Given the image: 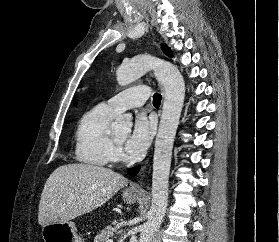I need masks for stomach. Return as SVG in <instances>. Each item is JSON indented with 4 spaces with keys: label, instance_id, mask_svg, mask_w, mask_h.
I'll return each mask as SVG.
<instances>
[{
    "label": "stomach",
    "instance_id": "0dacf381",
    "mask_svg": "<svg viewBox=\"0 0 279 242\" xmlns=\"http://www.w3.org/2000/svg\"><path fill=\"white\" fill-rule=\"evenodd\" d=\"M138 198L139 195L136 193L128 191L123 193V200L127 204H133ZM42 238L44 242H82L75 224L70 221L54 222L43 226Z\"/></svg>",
    "mask_w": 279,
    "mask_h": 242
}]
</instances>
